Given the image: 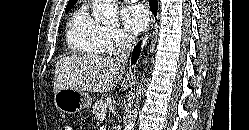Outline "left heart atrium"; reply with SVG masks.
<instances>
[{
    "mask_svg": "<svg viewBox=\"0 0 249 130\" xmlns=\"http://www.w3.org/2000/svg\"><path fill=\"white\" fill-rule=\"evenodd\" d=\"M121 18L126 30L134 35L143 32L149 21L148 12L141 4L124 7L121 12Z\"/></svg>",
    "mask_w": 249,
    "mask_h": 130,
    "instance_id": "left-heart-atrium-1",
    "label": "left heart atrium"
}]
</instances>
